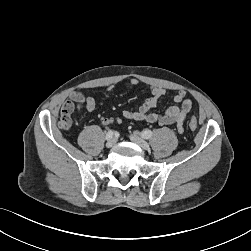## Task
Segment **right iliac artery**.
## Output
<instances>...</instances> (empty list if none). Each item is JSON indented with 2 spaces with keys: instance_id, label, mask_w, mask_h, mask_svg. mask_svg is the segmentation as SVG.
Instances as JSON below:
<instances>
[{
  "instance_id": "82829eb1",
  "label": "right iliac artery",
  "mask_w": 251,
  "mask_h": 251,
  "mask_svg": "<svg viewBox=\"0 0 251 251\" xmlns=\"http://www.w3.org/2000/svg\"><path fill=\"white\" fill-rule=\"evenodd\" d=\"M114 132L112 130H109L106 134V140H110L113 137Z\"/></svg>"
}]
</instances>
